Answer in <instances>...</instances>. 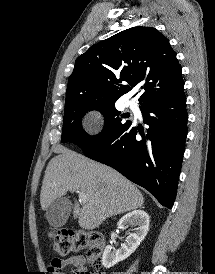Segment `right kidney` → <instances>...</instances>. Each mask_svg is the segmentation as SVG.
<instances>
[{"instance_id": "ca27d5eb", "label": "right kidney", "mask_w": 215, "mask_h": 274, "mask_svg": "<svg viewBox=\"0 0 215 274\" xmlns=\"http://www.w3.org/2000/svg\"><path fill=\"white\" fill-rule=\"evenodd\" d=\"M149 222V215L142 210H134L124 215L117 223L118 228L131 225L135 227V232L129 234L125 243H123L118 250L111 245L106 246L102 257L104 267H113L118 262L128 258L147 235Z\"/></svg>"}]
</instances>
